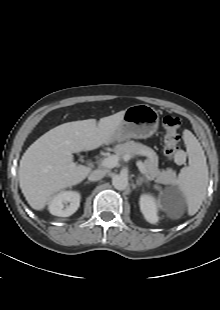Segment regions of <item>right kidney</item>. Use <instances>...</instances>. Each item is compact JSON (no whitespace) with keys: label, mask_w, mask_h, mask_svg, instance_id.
Listing matches in <instances>:
<instances>
[{"label":"right kidney","mask_w":220,"mask_h":310,"mask_svg":"<svg viewBox=\"0 0 220 310\" xmlns=\"http://www.w3.org/2000/svg\"><path fill=\"white\" fill-rule=\"evenodd\" d=\"M80 198V194L76 191H62L49 201V212L59 217L71 216L79 208Z\"/></svg>","instance_id":"ca27d5eb"}]
</instances>
